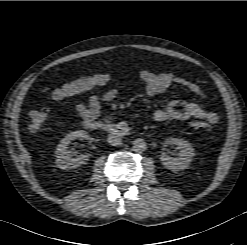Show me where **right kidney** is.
Wrapping results in <instances>:
<instances>
[{
	"label": "right kidney",
	"instance_id": "1",
	"mask_svg": "<svg viewBox=\"0 0 247 245\" xmlns=\"http://www.w3.org/2000/svg\"><path fill=\"white\" fill-rule=\"evenodd\" d=\"M88 139L89 135L84 130H78L67 134L58 144L56 149V164L60 168H74L85 164L89 160V154L72 157L68 151V145L75 139Z\"/></svg>",
	"mask_w": 247,
	"mask_h": 245
}]
</instances>
